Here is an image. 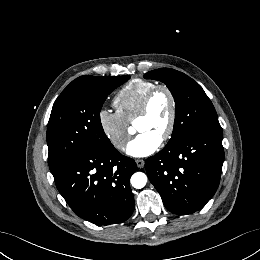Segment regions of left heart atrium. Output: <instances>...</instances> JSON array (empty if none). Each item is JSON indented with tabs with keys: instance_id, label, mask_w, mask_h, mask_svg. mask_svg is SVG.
Masks as SVG:
<instances>
[{
	"instance_id": "left-heart-atrium-1",
	"label": "left heart atrium",
	"mask_w": 260,
	"mask_h": 260,
	"mask_svg": "<svg viewBox=\"0 0 260 260\" xmlns=\"http://www.w3.org/2000/svg\"><path fill=\"white\" fill-rule=\"evenodd\" d=\"M161 139L151 133L138 134L126 146V153L133 157H145L154 153L160 146Z\"/></svg>"
}]
</instances>
